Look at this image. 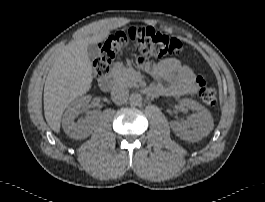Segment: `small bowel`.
I'll return each instance as SVG.
<instances>
[{"label":"small bowel","mask_w":265,"mask_h":202,"mask_svg":"<svg viewBox=\"0 0 265 202\" xmlns=\"http://www.w3.org/2000/svg\"><path fill=\"white\" fill-rule=\"evenodd\" d=\"M143 68L155 80L150 86L154 90L149 94L151 96H184L196 92L195 72L177 59H165L156 65Z\"/></svg>","instance_id":"obj_1"}]
</instances>
